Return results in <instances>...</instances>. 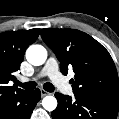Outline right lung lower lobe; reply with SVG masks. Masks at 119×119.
<instances>
[{
	"instance_id": "right-lung-lower-lobe-1",
	"label": "right lung lower lobe",
	"mask_w": 119,
	"mask_h": 119,
	"mask_svg": "<svg viewBox=\"0 0 119 119\" xmlns=\"http://www.w3.org/2000/svg\"><path fill=\"white\" fill-rule=\"evenodd\" d=\"M40 98L39 89L0 96V119H29Z\"/></svg>"
}]
</instances>
